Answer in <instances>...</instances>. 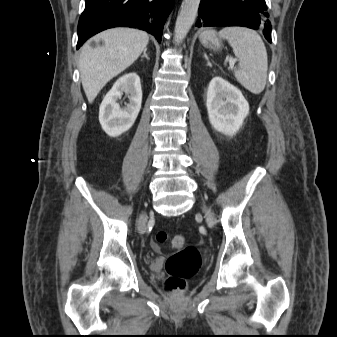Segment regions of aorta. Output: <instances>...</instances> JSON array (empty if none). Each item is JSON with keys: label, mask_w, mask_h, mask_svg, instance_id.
I'll return each instance as SVG.
<instances>
[{"label": "aorta", "mask_w": 337, "mask_h": 337, "mask_svg": "<svg viewBox=\"0 0 337 337\" xmlns=\"http://www.w3.org/2000/svg\"><path fill=\"white\" fill-rule=\"evenodd\" d=\"M200 0H183L175 23L174 37L179 45L192 27L199 8Z\"/></svg>", "instance_id": "aorta-1"}]
</instances>
